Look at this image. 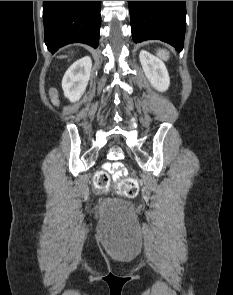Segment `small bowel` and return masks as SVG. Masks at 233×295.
Instances as JSON below:
<instances>
[{
	"mask_svg": "<svg viewBox=\"0 0 233 295\" xmlns=\"http://www.w3.org/2000/svg\"><path fill=\"white\" fill-rule=\"evenodd\" d=\"M104 168L105 170L112 173L113 179L115 181H117L123 175L124 167L120 162L107 163L105 164Z\"/></svg>",
	"mask_w": 233,
	"mask_h": 295,
	"instance_id": "small-bowel-1",
	"label": "small bowel"
}]
</instances>
